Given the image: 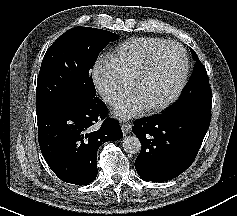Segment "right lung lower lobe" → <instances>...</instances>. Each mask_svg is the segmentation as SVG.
I'll use <instances>...</instances> for the list:
<instances>
[{
	"instance_id": "1",
	"label": "right lung lower lobe",
	"mask_w": 237,
	"mask_h": 216,
	"mask_svg": "<svg viewBox=\"0 0 237 216\" xmlns=\"http://www.w3.org/2000/svg\"><path fill=\"white\" fill-rule=\"evenodd\" d=\"M106 115L105 104L96 96L68 99L37 114L41 152L62 181L87 185L96 178L98 148L123 136L116 120L105 119L99 129L93 126Z\"/></svg>"
}]
</instances>
